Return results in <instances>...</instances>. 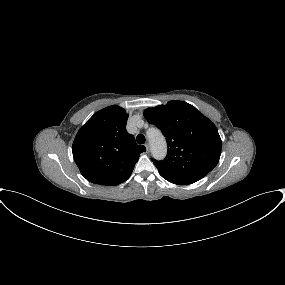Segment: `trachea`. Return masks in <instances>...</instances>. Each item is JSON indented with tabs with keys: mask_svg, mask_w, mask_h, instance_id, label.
<instances>
[{
	"mask_svg": "<svg viewBox=\"0 0 285 285\" xmlns=\"http://www.w3.org/2000/svg\"><path fill=\"white\" fill-rule=\"evenodd\" d=\"M136 140L139 144H144L145 143V136L143 134H139L137 137H136Z\"/></svg>",
	"mask_w": 285,
	"mask_h": 285,
	"instance_id": "1",
	"label": "trachea"
}]
</instances>
